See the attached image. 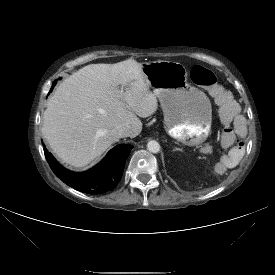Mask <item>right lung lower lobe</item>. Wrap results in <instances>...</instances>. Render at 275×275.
Masks as SVG:
<instances>
[{
	"label": "right lung lower lobe",
	"instance_id": "right-lung-lower-lobe-1",
	"mask_svg": "<svg viewBox=\"0 0 275 275\" xmlns=\"http://www.w3.org/2000/svg\"><path fill=\"white\" fill-rule=\"evenodd\" d=\"M43 146L45 157L54 174L75 190L88 194H102L117 185L122 177L125 161L133 148L129 145L116 146L94 168L83 173H74L62 167L44 144Z\"/></svg>",
	"mask_w": 275,
	"mask_h": 275
}]
</instances>
